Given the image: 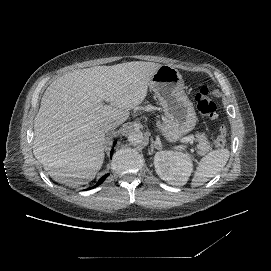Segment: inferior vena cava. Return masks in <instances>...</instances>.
Returning a JSON list of instances; mask_svg holds the SVG:
<instances>
[{"label":"inferior vena cava","instance_id":"602c4592","mask_svg":"<svg viewBox=\"0 0 271 271\" xmlns=\"http://www.w3.org/2000/svg\"><path fill=\"white\" fill-rule=\"evenodd\" d=\"M119 123L117 121L107 120L101 125V129L106 133L110 130H114L117 128Z\"/></svg>","mask_w":271,"mask_h":271}]
</instances>
